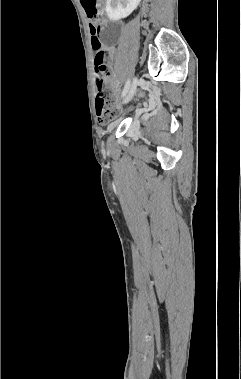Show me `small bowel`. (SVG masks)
<instances>
[{"mask_svg": "<svg viewBox=\"0 0 241 379\" xmlns=\"http://www.w3.org/2000/svg\"><path fill=\"white\" fill-rule=\"evenodd\" d=\"M106 81H107L110 85H112L113 87H115L116 89L118 88V84H117V82H115L111 77H107V78H106Z\"/></svg>", "mask_w": 241, "mask_h": 379, "instance_id": "c3829d8e", "label": "small bowel"}]
</instances>
